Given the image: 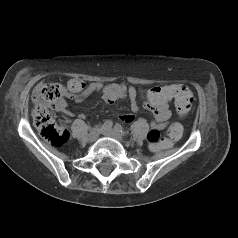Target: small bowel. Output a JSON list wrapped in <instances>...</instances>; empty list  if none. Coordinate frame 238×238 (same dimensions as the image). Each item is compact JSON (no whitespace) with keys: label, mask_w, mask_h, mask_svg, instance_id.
Here are the masks:
<instances>
[{"label":"small bowel","mask_w":238,"mask_h":238,"mask_svg":"<svg viewBox=\"0 0 238 238\" xmlns=\"http://www.w3.org/2000/svg\"><path fill=\"white\" fill-rule=\"evenodd\" d=\"M174 86L175 85H165L162 87H154L149 89L145 94H141V92L134 86L126 85L124 83H110L103 85L100 82H92L86 84L79 79H71L67 85L68 90L66 91V96L77 102H81L90 94L101 92L102 98L107 104H113L118 99L128 97L131 100V110L133 112H138L139 106L137 104V98L138 95L141 94L144 106L150 111L154 119L151 122V127L161 130L171 117L169 102L173 97L166 95V91L171 90ZM55 108L57 111H60L67 116L73 115L72 112L68 110L65 100H62ZM134 118L135 117L132 114H124L120 116V119L126 123L132 122Z\"/></svg>","instance_id":"obj_1"}]
</instances>
